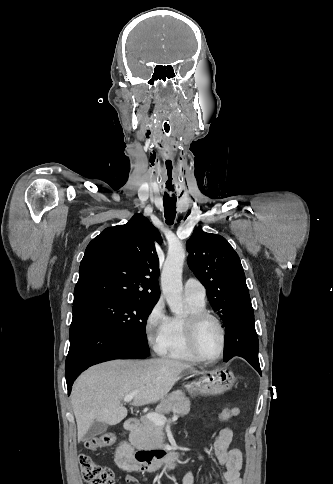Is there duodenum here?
Listing matches in <instances>:
<instances>
[{
    "instance_id": "duodenum-1",
    "label": "duodenum",
    "mask_w": 333,
    "mask_h": 484,
    "mask_svg": "<svg viewBox=\"0 0 333 484\" xmlns=\"http://www.w3.org/2000/svg\"><path fill=\"white\" fill-rule=\"evenodd\" d=\"M139 427L136 418H128L125 421L124 429L133 432ZM181 459L179 450H138L134 451L128 443H121L117 449V460L119 466L130 472H155L161 469H173L178 467Z\"/></svg>"
}]
</instances>
